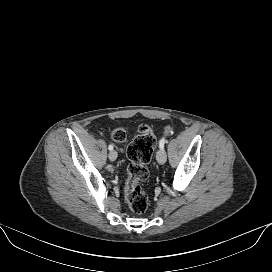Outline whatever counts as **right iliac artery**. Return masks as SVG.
Instances as JSON below:
<instances>
[{"instance_id":"82829eb1","label":"right iliac artery","mask_w":272,"mask_h":272,"mask_svg":"<svg viewBox=\"0 0 272 272\" xmlns=\"http://www.w3.org/2000/svg\"><path fill=\"white\" fill-rule=\"evenodd\" d=\"M108 149H109V150H113V145L110 144V145L108 146Z\"/></svg>"}]
</instances>
